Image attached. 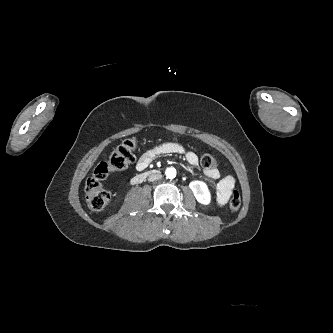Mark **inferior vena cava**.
<instances>
[{
	"instance_id": "inferior-vena-cava-1",
	"label": "inferior vena cava",
	"mask_w": 333,
	"mask_h": 333,
	"mask_svg": "<svg viewBox=\"0 0 333 333\" xmlns=\"http://www.w3.org/2000/svg\"><path fill=\"white\" fill-rule=\"evenodd\" d=\"M162 178V175L160 173L157 174H151L148 178L149 181L153 182L155 180H159Z\"/></svg>"
}]
</instances>
